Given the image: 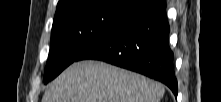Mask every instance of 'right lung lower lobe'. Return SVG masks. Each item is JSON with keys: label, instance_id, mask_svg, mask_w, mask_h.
I'll return each mask as SVG.
<instances>
[{"label": "right lung lower lobe", "instance_id": "98d812e1", "mask_svg": "<svg viewBox=\"0 0 221 102\" xmlns=\"http://www.w3.org/2000/svg\"><path fill=\"white\" fill-rule=\"evenodd\" d=\"M165 8L163 0H154L97 41L79 60H101L141 73L164 83L177 96Z\"/></svg>", "mask_w": 221, "mask_h": 102}]
</instances>
